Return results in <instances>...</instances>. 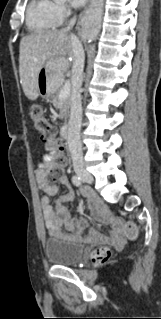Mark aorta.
Masks as SVG:
<instances>
[{
	"instance_id": "aorta-1",
	"label": "aorta",
	"mask_w": 161,
	"mask_h": 319,
	"mask_svg": "<svg viewBox=\"0 0 161 319\" xmlns=\"http://www.w3.org/2000/svg\"><path fill=\"white\" fill-rule=\"evenodd\" d=\"M90 16L88 15L86 17V21H85V25H86V29L87 31L91 32V33H95L98 29V24L97 23H91V21L89 20Z\"/></svg>"
}]
</instances>
